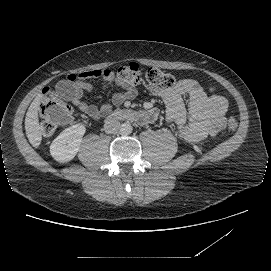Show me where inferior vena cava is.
<instances>
[{
    "label": "inferior vena cava",
    "mask_w": 271,
    "mask_h": 271,
    "mask_svg": "<svg viewBox=\"0 0 271 271\" xmlns=\"http://www.w3.org/2000/svg\"><path fill=\"white\" fill-rule=\"evenodd\" d=\"M121 124L118 119L111 117L108 118L105 125L104 131L108 134H116L120 131Z\"/></svg>",
    "instance_id": "602c4592"
}]
</instances>
